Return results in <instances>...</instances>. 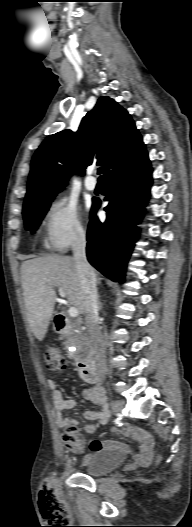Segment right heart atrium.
<instances>
[{
    "mask_svg": "<svg viewBox=\"0 0 192 527\" xmlns=\"http://www.w3.org/2000/svg\"><path fill=\"white\" fill-rule=\"evenodd\" d=\"M45 239L48 248L62 251L85 236L78 209L66 199H56L44 214Z\"/></svg>",
    "mask_w": 192,
    "mask_h": 527,
    "instance_id": "1",
    "label": "right heart atrium"
}]
</instances>
